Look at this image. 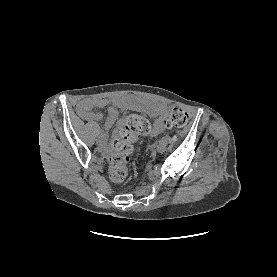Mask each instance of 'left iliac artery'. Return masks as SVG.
I'll return each instance as SVG.
<instances>
[{"instance_id":"obj_1","label":"left iliac artery","mask_w":277,"mask_h":277,"mask_svg":"<svg viewBox=\"0 0 277 277\" xmlns=\"http://www.w3.org/2000/svg\"><path fill=\"white\" fill-rule=\"evenodd\" d=\"M169 142H170V138H168V137H163L159 141V143H163V144H168Z\"/></svg>"}]
</instances>
